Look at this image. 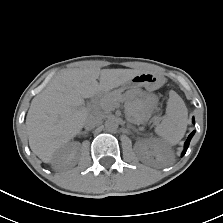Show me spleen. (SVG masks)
Returning a JSON list of instances; mask_svg holds the SVG:
<instances>
[{
    "instance_id": "spleen-1",
    "label": "spleen",
    "mask_w": 223,
    "mask_h": 223,
    "mask_svg": "<svg viewBox=\"0 0 223 223\" xmlns=\"http://www.w3.org/2000/svg\"><path fill=\"white\" fill-rule=\"evenodd\" d=\"M167 115L170 120V130L178 141L185 133L187 127V108L178 94L171 91L168 100Z\"/></svg>"
}]
</instances>
